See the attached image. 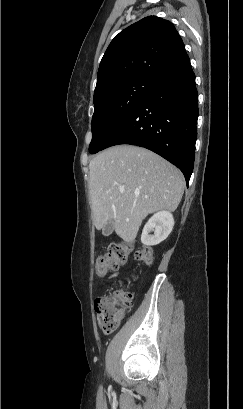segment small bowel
I'll return each instance as SVG.
<instances>
[{
  "label": "small bowel",
  "instance_id": "small-bowel-1",
  "mask_svg": "<svg viewBox=\"0 0 243 409\" xmlns=\"http://www.w3.org/2000/svg\"><path fill=\"white\" fill-rule=\"evenodd\" d=\"M117 276H118V274L115 273V274H113V275H111V276L109 277V280H111V279H113V278H116Z\"/></svg>",
  "mask_w": 243,
  "mask_h": 409
}]
</instances>
